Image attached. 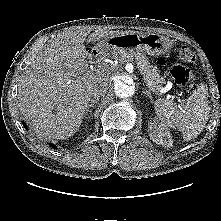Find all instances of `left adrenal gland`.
I'll use <instances>...</instances> for the list:
<instances>
[{
    "label": "left adrenal gland",
    "instance_id": "a2214340",
    "mask_svg": "<svg viewBox=\"0 0 221 221\" xmlns=\"http://www.w3.org/2000/svg\"><path fill=\"white\" fill-rule=\"evenodd\" d=\"M142 93L145 94V95H147L151 100L153 99V98H152V95H151V92H150L149 90L143 89Z\"/></svg>",
    "mask_w": 221,
    "mask_h": 221
}]
</instances>
